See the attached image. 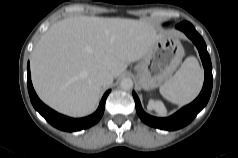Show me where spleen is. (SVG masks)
<instances>
[{"label":"spleen","mask_w":238,"mask_h":158,"mask_svg":"<svg viewBox=\"0 0 238 158\" xmlns=\"http://www.w3.org/2000/svg\"><path fill=\"white\" fill-rule=\"evenodd\" d=\"M203 84V71L193 56L187 57L175 75L159 91L168 101L185 105L199 94Z\"/></svg>","instance_id":"1"}]
</instances>
